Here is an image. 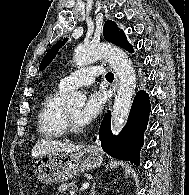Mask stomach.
I'll list each match as a JSON object with an SVG mask.
<instances>
[{
  "label": "stomach",
  "mask_w": 189,
  "mask_h": 195,
  "mask_svg": "<svg viewBox=\"0 0 189 195\" xmlns=\"http://www.w3.org/2000/svg\"><path fill=\"white\" fill-rule=\"evenodd\" d=\"M102 162L101 151L97 147L86 146L79 152H55L39 157L34 163V173L41 182L53 184L97 168Z\"/></svg>",
  "instance_id": "0dacf381"
}]
</instances>
